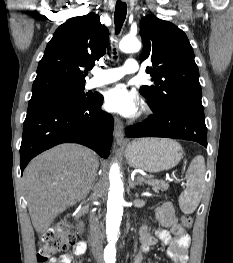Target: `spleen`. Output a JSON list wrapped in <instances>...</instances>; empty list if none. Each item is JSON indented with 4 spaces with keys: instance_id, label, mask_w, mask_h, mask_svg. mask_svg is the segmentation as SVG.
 <instances>
[{
    "instance_id": "1",
    "label": "spleen",
    "mask_w": 233,
    "mask_h": 263,
    "mask_svg": "<svg viewBox=\"0 0 233 263\" xmlns=\"http://www.w3.org/2000/svg\"><path fill=\"white\" fill-rule=\"evenodd\" d=\"M205 160L196 156L189 165L186 173V189L179 196V206L185 214L193 213L201 200L205 184Z\"/></svg>"
}]
</instances>
